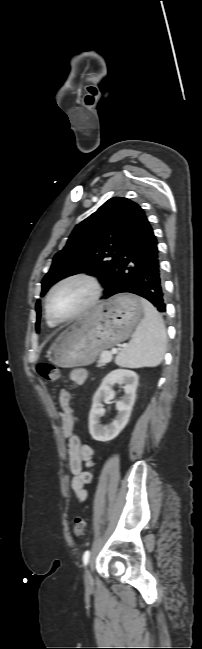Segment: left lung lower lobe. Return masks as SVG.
Wrapping results in <instances>:
<instances>
[{
  "mask_svg": "<svg viewBox=\"0 0 202 649\" xmlns=\"http://www.w3.org/2000/svg\"><path fill=\"white\" fill-rule=\"evenodd\" d=\"M122 292L142 296L160 312H165L157 241L146 216L126 239L108 291L102 298Z\"/></svg>",
  "mask_w": 202,
  "mask_h": 649,
  "instance_id": "0a47b994",
  "label": "left lung lower lobe"
}]
</instances>
